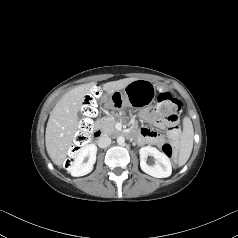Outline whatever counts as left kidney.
Instances as JSON below:
<instances>
[{
    "instance_id": "1",
    "label": "left kidney",
    "mask_w": 238,
    "mask_h": 238,
    "mask_svg": "<svg viewBox=\"0 0 238 238\" xmlns=\"http://www.w3.org/2000/svg\"><path fill=\"white\" fill-rule=\"evenodd\" d=\"M140 154V167L141 169L156 178L169 177L172 173V167L170 159L164 153L160 152L155 147L145 146L139 151ZM148 156H153L156 160L153 166L146 163Z\"/></svg>"
}]
</instances>
